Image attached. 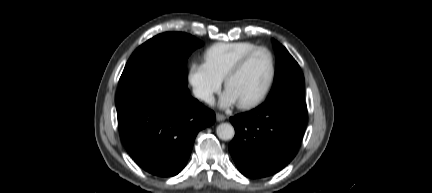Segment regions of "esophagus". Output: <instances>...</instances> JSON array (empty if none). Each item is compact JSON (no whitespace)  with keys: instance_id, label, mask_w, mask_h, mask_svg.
<instances>
[{"instance_id":"34e87169","label":"esophagus","mask_w":432,"mask_h":193,"mask_svg":"<svg viewBox=\"0 0 432 193\" xmlns=\"http://www.w3.org/2000/svg\"><path fill=\"white\" fill-rule=\"evenodd\" d=\"M226 119V116L220 113H216V120L217 121H224Z\"/></svg>"}]
</instances>
